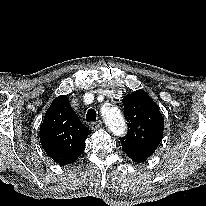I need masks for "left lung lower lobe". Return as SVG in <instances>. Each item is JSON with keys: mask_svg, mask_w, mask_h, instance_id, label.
I'll return each mask as SVG.
<instances>
[{"mask_svg": "<svg viewBox=\"0 0 206 206\" xmlns=\"http://www.w3.org/2000/svg\"><path fill=\"white\" fill-rule=\"evenodd\" d=\"M125 153L134 161V162H142L151 155L145 152H137V151H125Z\"/></svg>", "mask_w": 206, "mask_h": 206, "instance_id": "left-lung-lower-lobe-1", "label": "left lung lower lobe"}]
</instances>
